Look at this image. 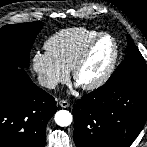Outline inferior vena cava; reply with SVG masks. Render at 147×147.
<instances>
[{
	"label": "inferior vena cava",
	"instance_id": "602c4592",
	"mask_svg": "<svg viewBox=\"0 0 147 147\" xmlns=\"http://www.w3.org/2000/svg\"><path fill=\"white\" fill-rule=\"evenodd\" d=\"M39 84L49 89H55L57 82L45 76L38 77Z\"/></svg>",
	"mask_w": 147,
	"mask_h": 147
}]
</instances>
